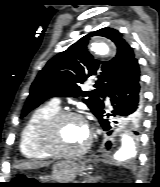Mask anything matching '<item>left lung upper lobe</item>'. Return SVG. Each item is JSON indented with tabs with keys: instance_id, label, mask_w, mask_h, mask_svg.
Returning a JSON list of instances; mask_svg holds the SVG:
<instances>
[{
	"instance_id": "obj_1",
	"label": "left lung upper lobe",
	"mask_w": 160,
	"mask_h": 187,
	"mask_svg": "<svg viewBox=\"0 0 160 187\" xmlns=\"http://www.w3.org/2000/svg\"><path fill=\"white\" fill-rule=\"evenodd\" d=\"M94 35L104 36L115 43L116 57L108 62L98 61L87 51L89 38ZM135 59L132 48L122 38V34L113 28H102L92 32L66 51L59 53L49 60L46 66L39 72L31 85L30 95L25 102L21 117L39 106L48 98L59 97H88L83 102L96 116L103 103L102 98L108 90L126 74L130 64ZM96 76L98 80L95 89L83 92L79 84L88 77ZM126 126L138 135L139 124L130 120H124Z\"/></svg>"
}]
</instances>
